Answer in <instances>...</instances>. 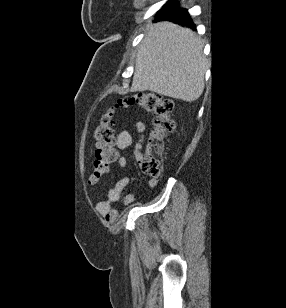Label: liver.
I'll return each mask as SVG.
<instances>
[{"mask_svg": "<svg viewBox=\"0 0 286 308\" xmlns=\"http://www.w3.org/2000/svg\"><path fill=\"white\" fill-rule=\"evenodd\" d=\"M202 50V41L188 28L167 21L150 25L138 47L130 91L195 101L204 90Z\"/></svg>", "mask_w": 286, "mask_h": 308, "instance_id": "liver-1", "label": "liver"}]
</instances>
